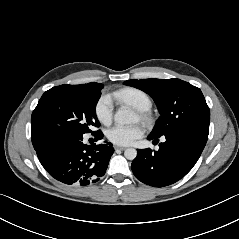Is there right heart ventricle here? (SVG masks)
<instances>
[{
    "label": "right heart ventricle",
    "instance_id": "obj_1",
    "mask_svg": "<svg viewBox=\"0 0 239 239\" xmlns=\"http://www.w3.org/2000/svg\"><path fill=\"white\" fill-rule=\"evenodd\" d=\"M115 98L121 102L131 105L138 111H148L152 106L150 97L142 90L126 88L115 93Z\"/></svg>",
    "mask_w": 239,
    "mask_h": 239
}]
</instances>
